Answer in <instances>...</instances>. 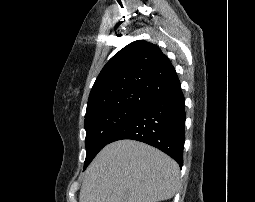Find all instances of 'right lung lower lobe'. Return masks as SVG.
Instances as JSON below:
<instances>
[{
    "mask_svg": "<svg viewBox=\"0 0 255 202\" xmlns=\"http://www.w3.org/2000/svg\"><path fill=\"white\" fill-rule=\"evenodd\" d=\"M185 99L181 88L148 102L110 138L133 139L154 146L183 165Z\"/></svg>",
    "mask_w": 255,
    "mask_h": 202,
    "instance_id": "1",
    "label": "right lung lower lobe"
}]
</instances>
